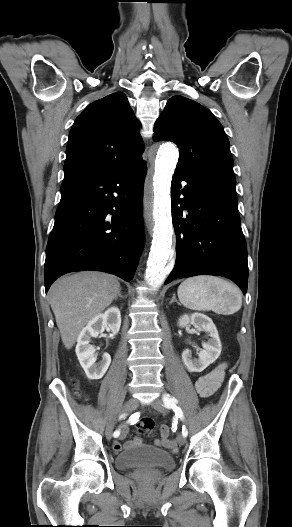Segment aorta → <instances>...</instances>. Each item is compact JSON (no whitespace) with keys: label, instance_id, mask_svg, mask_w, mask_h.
I'll use <instances>...</instances> for the list:
<instances>
[{"label":"aorta","instance_id":"1","mask_svg":"<svg viewBox=\"0 0 292 527\" xmlns=\"http://www.w3.org/2000/svg\"><path fill=\"white\" fill-rule=\"evenodd\" d=\"M179 153L175 145L166 144L159 148L153 176V240L148 258L146 275L154 289L160 287L170 273L168 263L172 248L171 181Z\"/></svg>","mask_w":292,"mask_h":527}]
</instances>
